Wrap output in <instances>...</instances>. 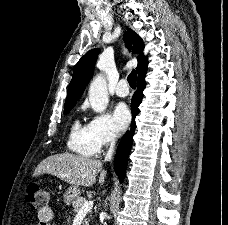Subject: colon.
I'll return each instance as SVG.
<instances>
[{"mask_svg":"<svg viewBox=\"0 0 228 225\" xmlns=\"http://www.w3.org/2000/svg\"><path fill=\"white\" fill-rule=\"evenodd\" d=\"M26 199L30 206L38 214L39 211H44L45 206L48 204L49 194L47 189L42 186L30 185L26 189Z\"/></svg>","mask_w":228,"mask_h":225,"instance_id":"1","label":"colon"}]
</instances>
